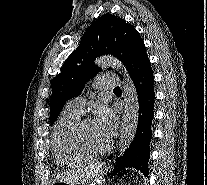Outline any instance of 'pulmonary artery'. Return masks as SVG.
<instances>
[{
    "label": "pulmonary artery",
    "instance_id": "pulmonary-artery-1",
    "mask_svg": "<svg viewBox=\"0 0 207 185\" xmlns=\"http://www.w3.org/2000/svg\"><path fill=\"white\" fill-rule=\"evenodd\" d=\"M93 91H114V86H123L121 77H98V81H93ZM85 107V99L74 98L66 105V110L76 114H82Z\"/></svg>",
    "mask_w": 207,
    "mask_h": 185
}]
</instances>
